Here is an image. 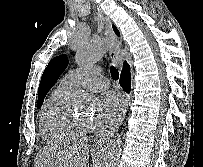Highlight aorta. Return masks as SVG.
Here are the masks:
<instances>
[{"mask_svg":"<svg viewBox=\"0 0 203 167\" xmlns=\"http://www.w3.org/2000/svg\"><path fill=\"white\" fill-rule=\"evenodd\" d=\"M114 42L99 38L91 40L80 46L76 53V62L80 67H87L98 62L114 46ZM81 96L85 98L84 93ZM121 155V143L112 139L107 143L99 167H116Z\"/></svg>","mask_w":203,"mask_h":167,"instance_id":"aorta-1","label":"aorta"}]
</instances>
